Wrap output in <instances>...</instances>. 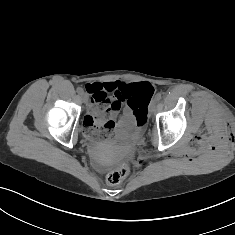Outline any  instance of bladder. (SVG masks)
Returning a JSON list of instances; mask_svg holds the SVG:
<instances>
[{
    "label": "bladder",
    "mask_w": 235,
    "mask_h": 235,
    "mask_svg": "<svg viewBox=\"0 0 235 235\" xmlns=\"http://www.w3.org/2000/svg\"><path fill=\"white\" fill-rule=\"evenodd\" d=\"M115 135L121 140L131 141L137 139L141 135V130L132 119L126 120L123 118L116 124Z\"/></svg>",
    "instance_id": "31cf9c89"
}]
</instances>
